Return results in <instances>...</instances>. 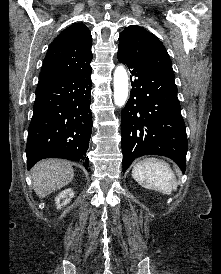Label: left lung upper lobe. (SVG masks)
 Here are the masks:
<instances>
[{
    "mask_svg": "<svg viewBox=\"0 0 221 274\" xmlns=\"http://www.w3.org/2000/svg\"><path fill=\"white\" fill-rule=\"evenodd\" d=\"M118 50L154 70L174 77L164 45L154 34L140 26L130 25L121 32Z\"/></svg>",
    "mask_w": 221,
    "mask_h": 274,
    "instance_id": "obj_1",
    "label": "left lung upper lobe"
}]
</instances>
